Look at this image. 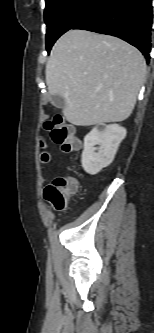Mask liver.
Returning <instances> with one entry per match:
<instances>
[{
  "label": "liver",
  "mask_w": 154,
  "mask_h": 333,
  "mask_svg": "<svg viewBox=\"0 0 154 333\" xmlns=\"http://www.w3.org/2000/svg\"><path fill=\"white\" fill-rule=\"evenodd\" d=\"M145 75L146 62L138 49L86 30L63 34L46 64L48 91L64 98L63 114L76 126L127 119Z\"/></svg>",
  "instance_id": "6515ba94"
}]
</instances>
